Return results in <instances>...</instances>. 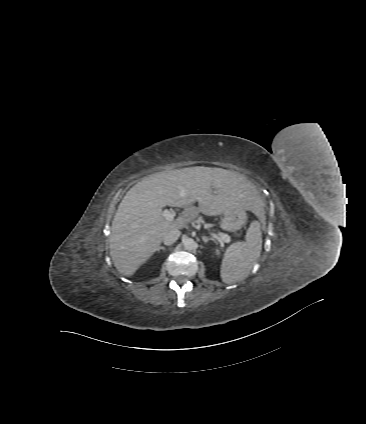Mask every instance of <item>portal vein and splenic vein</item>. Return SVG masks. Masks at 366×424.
Segmentation results:
<instances>
[{"label":"portal vein and splenic vein","mask_w":366,"mask_h":424,"mask_svg":"<svg viewBox=\"0 0 366 424\" xmlns=\"http://www.w3.org/2000/svg\"><path fill=\"white\" fill-rule=\"evenodd\" d=\"M162 216L168 221H173L175 217V215L168 209H164L162 211ZM219 235L222 238V240H224L225 242L231 241V237L228 234L220 233Z\"/></svg>","instance_id":"1"}]
</instances>
